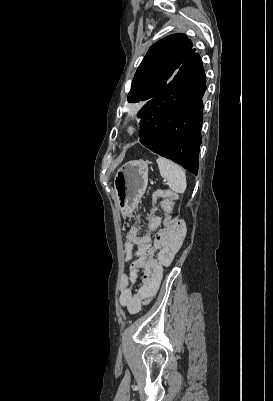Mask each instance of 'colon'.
<instances>
[{"label": "colon", "instance_id": "colon-1", "mask_svg": "<svg viewBox=\"0 0 273 401\" xmlns=\"http://www.w3.org/2000/svg\"><path fill=\"white\" fill-rule=\"evenodd\" d=\"M166 232H158V241H184L185 240V224L181 220L168 218L166 221ZM176 229L182 232H170ZM144 281L149 282L152 279L151 274L146 273L143 276Z\"/></svg>", "mask_w": 273, "mask_h": 401}]
</instances>
